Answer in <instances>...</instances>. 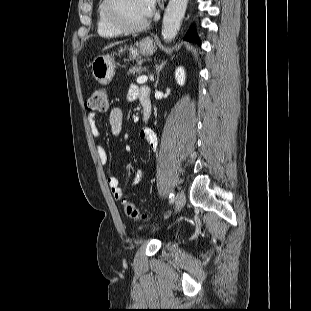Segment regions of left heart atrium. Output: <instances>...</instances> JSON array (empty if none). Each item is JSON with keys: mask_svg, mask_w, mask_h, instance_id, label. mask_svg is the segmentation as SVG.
Returning <instances> with one entry per match:
<instances>
[{"mask_svg": "<svg viewBox=\"0 0 311 311\" xmlns=\"http://www.w3.org/2000/svg\"><path fill=\"white\" fill-rule=\"evenodd\" d=\"M144 7L149 16H151L155 10L157 0H143Z\"/></svg>", "mask_w": 311, "mask_h": 311, "instance_id": "1", "label": "left heart atrium"}]
</instances>
